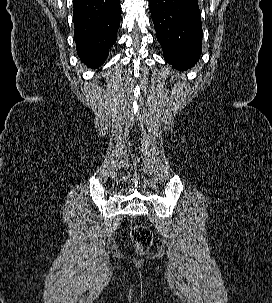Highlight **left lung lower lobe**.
<instances>
[{
	"mask_svg": "<svg viewBox=\"0 0 272 303\" xmlns=\"http://www.w3.org/2000/svg\"><path fill=\"white\" fill-rule=\"evenodd\" d=\"M149 7L165 61L177 70L193 67L202 50L198 0H149Z\"/></svg>",
	"mask_w": 272,
	"mask_h": 303,
	"instance_id": "0a47b994",
	"label": "left lung lower lobe"
}]
</instances>
